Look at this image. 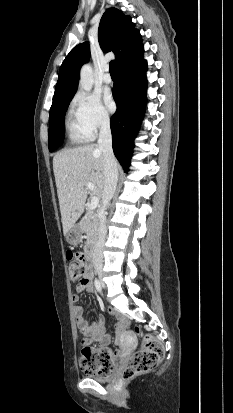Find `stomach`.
I'll use <instances>...</instances> for the list:
<instances>
[{
	"instance_id": "obj_1",
	"label": "stomach",
	"mask_w": 233,
	"mask_h": 413,
	"mask_svg": "<svg viewBox=\"0 0 233 413\" xmlns=\"http://www.w3.org/2000/svg\"><path fill=\"white\" fill-rule=\"evenodd\" d=\"M82 231L78 224H74L67 233L66 239L71 245H77L81 240Z\"/></svg>"
}]
</instances>
